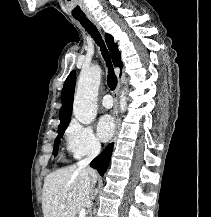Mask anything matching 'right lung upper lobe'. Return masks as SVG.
I'll return each instance as SVG.
<instances>
[{
    "mask_svg": "<svg viewBox=\"0 0 211 217\" xmlns=\"http://www.w3.org/2000/svg\"><path fill=\"white\" fill-rule=\"evenodd\" d=\"M105 39L112 56L114 66L116 67L118 66L122 68L123 63L121 61L120 52L117 48V44L114 43L113 41L112 35L106 34ZM75 82H76V72L75 70H73L65 80L62 89V94H61L62 107L60 109V115H59L61 122L60 125L58 126V129L68 126L70 122L71 114H72V103L74 97Z\"/></svg>",
    "mask_w": 211,
    "mask_h": 217,
    "instance_id": "right-lung-upper-lobe-1",
    "label": "right lung upper lobe"
}]
</instances>
